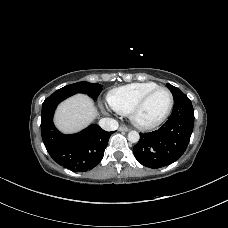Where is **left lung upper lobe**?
<instances>
[{"label":"left lung upper lobe","mask_w":228,"mask_h":228,"mask_svg":"<svg viewBox=\"0 0 228 228\" xmlns=\"http://www.w3.org/2000/svg\"><path fill=\"white\" fill-rule=\"evenodd\" d=\"M167 87L173 94L174 101L178 98L185 96V94L182 91H180L177 87H174L171 84H167Z\"/></svg>","instance_id":"obj_1"}]
</instances>
